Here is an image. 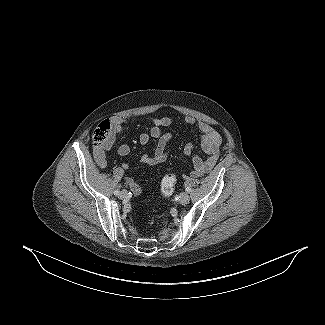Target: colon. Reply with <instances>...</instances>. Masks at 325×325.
Wrapping results in <instances>:
<instances>
[{"mask_svg": "<svg viewBox=\"0 0 325 325\" xmlns=\"http://www.w3.org/2000/svg\"><path fill=\"white\" fill-rule=\"evenodd\" d=\"M111 125L108 121H103L97 125L93 132L92 141L94 146L102 145L108 138ZM177 177L174 173L166 174L161 182V193L164 198L170 197L175 189Z\"/></svg>", "mask_w": 325, "mask_h": 325, "instance_id": "colon-1", "label": "colon"}]
</instances>
